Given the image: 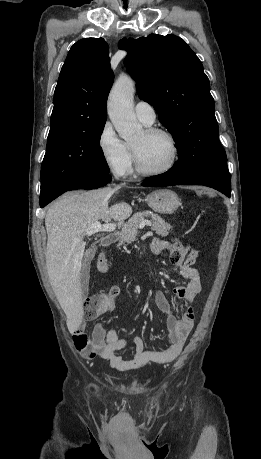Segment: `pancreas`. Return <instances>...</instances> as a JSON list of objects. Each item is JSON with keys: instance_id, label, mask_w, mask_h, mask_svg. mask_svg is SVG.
Returning a JSON list of instances; mask_svg holds the SVG:
<instances>
[{"instance_id": "obj_1", "label": "pancreas", "mask_w": 261, "mask_h": 459, "mask_svg": "<svg viewBox=\"0 0 261 459\" xmlns=\"http://www.w3.org/2000/svg\"><path fill=\"white\" fill-rule=\"evenodd\" d=\"M145 217L152 219V230L160 236H167L172 226L166 223L158 214L151 211H143L134 214L129 221L123 225L122 231L119 234L120 243L130 244L136 240L138 233L139 224L144 220Z\"/></svg>"}]
</instances>
